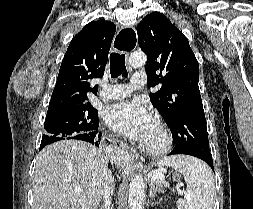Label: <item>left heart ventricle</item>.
<instances>
[{"mask_svg": "<svg viewBox=\"0 0 253 209\" xmlns=\"http://www.w3.org/2000/svg\"><path fill=\"white\" fill-rule=\"evenodd\" d=\"M162 135L158 126L154 123L147 137L144 139L143 143L149 146H157L160 144Z\"/></svg>", "mask_w": 253, "mask_h": 209, "instance_id": "1", "label": "left heart ventricle"}]
</instances>
